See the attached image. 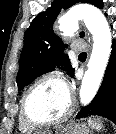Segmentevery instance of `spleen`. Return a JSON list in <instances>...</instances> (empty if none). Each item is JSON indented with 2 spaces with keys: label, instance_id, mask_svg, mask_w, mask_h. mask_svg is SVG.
Here are the masks:
<instances>
[{
  "label": "spleen",
  "instance_id": "1",
  "mask_svg": "<svg viewBox=\"0 0 116 134\" xmlns=\"http://www.w3.org/2000/svg\"><path fill=\"white\" fill-rule=\"evenodd\" d=\"M88 123L93 129H95L97 131H100L103 127L100 119L89 118Z\"/></svg>",
  "mask_w": 116,
  "mask_h": 134
}]
</instances>
